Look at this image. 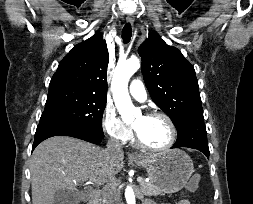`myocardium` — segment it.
Here are the masks:
<instances>
[{"label": "myocardium", "instance_id": "1", "mask_svg": "<svg viewBox=\"0 0 253 204\" xmlns=\"http://www.w3.org/2000/svg\"><path fill=\"white\" fill-rule=\"evenodd\" d=\"M144 116L146 117H160L162 119H164L166 121V123L169 126L170 129V139L169 141L162 147H152L147 145L140 137L139 133L137 132V130L133 127L134 129V136H135V141L137 143V145L147 151H151V152H163L166 150H169L175 143L176 138H177V130L175 127V124L173 123V121L171 120V118L162 112H157V111H152V112H148L146 113Z\"/></svg>", "mask_w": 253, "mask_h": 204}]
</instances>
